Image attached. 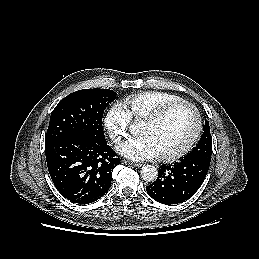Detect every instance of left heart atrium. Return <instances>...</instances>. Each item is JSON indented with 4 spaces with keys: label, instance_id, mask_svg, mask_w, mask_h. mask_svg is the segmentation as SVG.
I'll return each mask as SVG.
<instances>
[{
    "label": "left heart atrium",
    "instance_id": "39dd6f15",
    "mask_svg": "<svg viewBox=\"0 0 259 259\" xmlns=\"http://www.w3.org/2000/svg\"><path fill=\"white\" fill-rule=\"evenodd\" d=\"M117 151L122 156L134 161H142L158 156L154 143L147 135H140L122 141L118 144Z\"/></svg>",
    "mask_w": 259,
    "mask_h": 259
}]
</instances>
